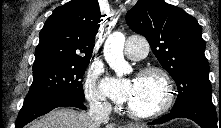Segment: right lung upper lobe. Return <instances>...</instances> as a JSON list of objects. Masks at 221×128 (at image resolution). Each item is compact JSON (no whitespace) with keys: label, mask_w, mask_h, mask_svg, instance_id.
Listing matches in <instances>:
<instances>
[{"label":"right lung upper lobe","mask_w":221,"mask_h":128,"mask_svg":"<svg viewBox=\"0 0 221 128\" xmlns=\"http://www.w3.org/2000/svg\"><path fill=\"white\" fill-rule=\"evenodd\" d=\"M102 17L97 0H71L57 7L40 32L33 71L90 60Z\"/></svg>","instance_id":"1"}]
</instances>
